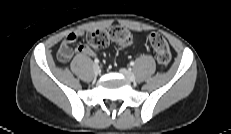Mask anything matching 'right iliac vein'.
I'll list each match as a JSON object with an SVG mask.
<instances>
[{
    "label": "right iliac vein",
    "instance_id": "obj_1",
    "mask_svg": "<svg viewBox=\"0 0 231 134\" xmlns=\"http://www.w3.org/2000/svg\"><path fill=\"white\" fill-rule=\"evenodd\" d=\"M93 72L95 75H98L100 73V67L97 64L93 65Z\"/></svg>",
    "mask_w": 231,
    "mask_h": 134
}]
</instances>
